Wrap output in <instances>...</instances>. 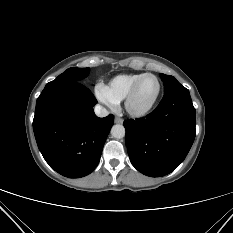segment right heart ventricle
<instances>
[{"label": "right heart ventricle", "instance_id": "1", "mask_svg": "<svg viewBox=\"0 0 233 233\" xmlns=\"http://www.w3.org/2000/svg\"><path fill=\"white\" fill-rule=\"evenodd\" d=\"M145 73L120 74L110 80L106 86L116 103L125 100L131 87Z\"/></svg>", "mask_w": 233, "mask_h": 233}]
</instances>
